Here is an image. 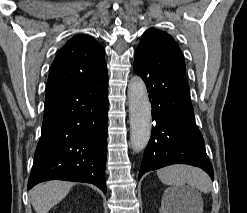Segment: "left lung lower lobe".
I'll list each match as a JSON object with an SVG mask.
<instances>
[{"instance_id": "left-lung-lower-lobe-1", "label": "left lung lower lobe", "mask_w": 247, "mask_h": 213, "mask_svg": "<svg viewBox=\"0 0 247 213\" xmlns=\"http://www.w3.org/2000/svg\"><path fill=\"white\" fill-rule=\"evenodd\" d=\"M133 67L146 83L155 121L139 179L148 171L182 163L202 168L213 180V168L195 123L185 65L134 62Z\"/></svg>"}]
</instances>
